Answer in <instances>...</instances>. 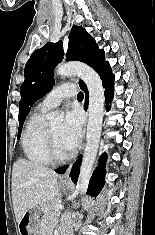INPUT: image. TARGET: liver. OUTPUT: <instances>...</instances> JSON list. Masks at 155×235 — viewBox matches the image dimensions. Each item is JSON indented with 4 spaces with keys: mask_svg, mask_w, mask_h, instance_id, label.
Segmentation results:
<instances>
[{
    "mask_svg": "<svg viewBox=\"0 0 155 235\" xmlns=\"http://www.w3.org/2000/svg\"><path fill=\"white\" fill-rule=\"evenodd\" d=\"M58 174L52 169L18 159L12 170V202L17 223L25 212L50 202L59 193Z\"/></svg>",
    "mask_w": 155,
    "mask_h": 235,
    "instance_id": "6515ba94",
    "label": "liver"
}]
</instances>
